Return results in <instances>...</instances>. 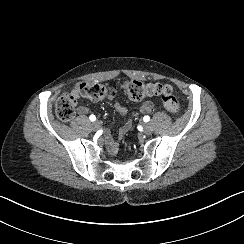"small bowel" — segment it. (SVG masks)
I'll return each mask as SVG.
<instances>
[{"mask_svg":"<svg viewBox=\"0 0 244 244\" xmlns=\"http://www.w3.org/2000/svg\"><path fill=\"white\" fill-rule=\"evenodd\" d=\"M73 90L78 91L77 88H74ZM74 103L76 104V103H77V100L74 101ZM114 107H115L116 111H117L119 114L123 115V116H125V115H127V114L129 113L128 108H127L124 104H122V103H120V102H115ZM153 107H154V106H153V103H152L151 101L147 100V101H144V102L141 104V106H140V108H139V111H140V113H143V114H145V113H149V112L152 111ZM77 110H78V113H79L80 115H82V116H84V115H86V114L88 113V108H87L86 106H83V105L78 106ZM131 127H132V123H131V121L126 122V123L119 129V131H118V136H119V137H123V136H124L130 129H131ZM109 141H110V140H109Z\"/></svg>","mask_w":244,"mask_h":244,"instance_id":"c3829d8e","label":"small bowel"}]
</instances>
